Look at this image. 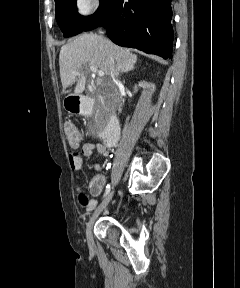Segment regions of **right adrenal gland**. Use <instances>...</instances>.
<instances>
[{
  "label": "right adrenal gland",
  "mask_w": 240,
  "mask_h": 288,
  "mask_svg": "<svg viewBox=\"0 0 240 288\" xmlns=\"http://www.w3.org/2000/svg\"><path fill=\"white\" fill-rule=\"evenodd\" d=\"M135 63H127L121 66L117 67V74L119 75V73H128L130 71H133L135 69Z\"/></svg>",
  "instance_id": "right-adrenal-gland-1"
}]
</instances>
